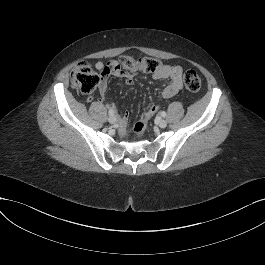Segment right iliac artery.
<instances>
[{
	"label": "right iliac artery",
	"mask_w": 265,
	"mask_h": 265,
	"mask_svg": "<svg viewBox=\"0 0 265 265\" xmlns=\"http://www.w3.org/2000/svg\"><path fill=\"white\" fill-rule=\"evenodd\" d=\"M113 114H114L113 111L110 110V111H109V115L111 116V115H113Z\"/></svg>",
	"instance_id": "obj_1"
}]
</instances>
